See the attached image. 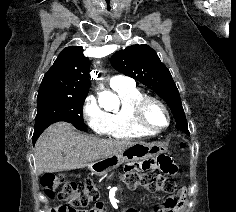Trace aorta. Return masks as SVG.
Wrapping results in <instances>:
<instances>
[{
	"mask_svg": "<svg viewBox=\"0 0 236 212\" xmlns=\"http://www.w3.org/2000/svg\"><path fill=\"white\" fill-rule=\"evenodd\" d=\"M99 97L101 99H104L105 104L110 108H114V107H117L119 105L118 97L116 95L110 93V92L103 91L99 94Z\"/></svg>",
	"mask_w": 236,
	"mask_h": 212,
	"instance_id": "obj_1",
	"label": "aorta"
}]
</instances>
